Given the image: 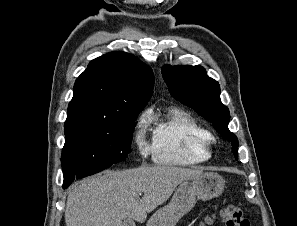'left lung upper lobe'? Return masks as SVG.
Segmentation results:
<instances>
[{
  "label": "left lung upper lobe",
  "mask_w": 297,
  "mask_h": 226,
  "mask_svg": "<svg viewBox=\"0 0 297 226\" xmlns=\"http://www.w3.org/2000/svg\"><path fill=\"white\" fill-rule=\"evenodd\" d=\"M162 75L176 100L194 109L231 141L237 159L238 140L228 129L229 109L221 103L218 82L208 77L206 70L199 65L165 66Z\"/></svg>",
  "instance_id": "1"
}]
</instances>
